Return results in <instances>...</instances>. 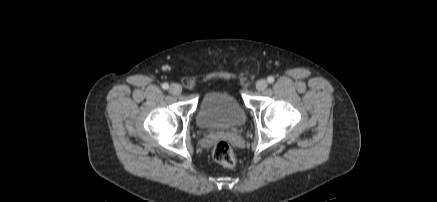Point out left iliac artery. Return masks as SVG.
<instances>
[{"label":"left iliac artery","mask_w":437,"mask_h":202,"mask_svg":"<svg viewBox=\"0 0 437 202\" xmlns=\"http://www.w3.org/2000/svg\"><path fill=\"white\" fill-rule=\"evenodd\" d=\"M268 83H273L274 82V77L273 76H269L267 78Z\"/></svg>","instance_id":"obj_1"}]
</instances>
